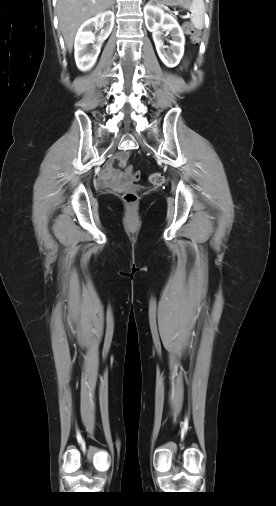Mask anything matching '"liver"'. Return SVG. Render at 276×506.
Wrapping results in <instances>:
<instances>
[{
  "label": "liver",
  "instance_id": "1",
  "mask_svg": "<svg viewBox=\"0 0 276 506\" xmlns=\"http://www.w3.org/2000/svg\"><path fill=\"white\" fill-rule=\"evenodd\" d=\"M114 0H58L57 15L59 27L63 34L65 44L71 52L75 34L79 26L106 9Z\"/></svg>",
  "mask_w": 276,
  "mask_h": 506
}]
</instances>
